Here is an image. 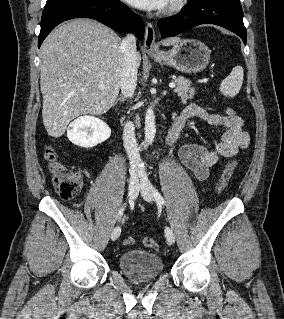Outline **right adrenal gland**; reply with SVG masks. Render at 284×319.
Wrapping results in <instances>:
<instances>
[{
	"mask_svg": "<svg viewBox=\"0 0 284 319\" xmlns=\"http://www.w3.org/2000/svg\"><path fill=\"white\" fill-rule=\"evenodd\" d=\"M125 97L121 96L120 98L116 99V101L114 102V104H116L118 101L120 102H124Z\"/></svg>",
	"mask_w": 284,
	"mask_h": 319,
	"instance_id": "obj_1",
	"label": "right adrenal gland"
}]
</instances>
